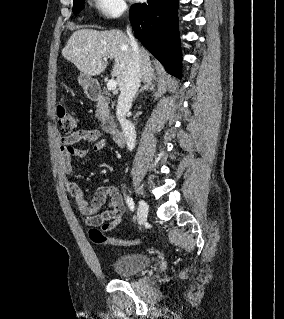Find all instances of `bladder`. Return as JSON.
<instances>
[{
	"label": "bladder",
	"instance_id": "1",
	"mask_svg": "<svg viewBox=\"0 0 284 319\" xmlns=\"http://www.w3.org/2000/svg\"><path fill=\"white\" fill-rule=\"evenodd\" d=\"M152 257L144 252H127L117 256L111 263L113 272L120 277H130L146 269Z\"/></svg>",
	"mask_w": 284,
	"mask_h": 319
}]
</instances>
